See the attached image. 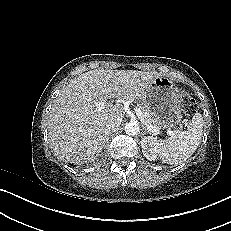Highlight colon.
Returning <instances> with one entry per match:
<instances>
[{
	"label": "colon",
	"instance_id": "5ec220e1",
	"mask_svg": "<svg viewBox=\"0 0 231 231\" xmlns=\"http://www.w3.org/2000/svg\"><path fill=\"white\" fill-rule=\"evenodd\" d=\"M180 100H181L182 110L185 115L191 116L196 112L197 110L196 103L194 99L186 91H181Z\"/></svg>",
	"mask_w": 231,
	"mask_h": 231
}]
</instances>
